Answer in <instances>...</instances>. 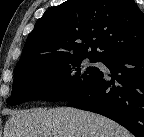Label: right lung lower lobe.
Listing matches in <instances>:
<instances>
[{
    "mask_svg": "<svg viewBox=\"0 0 144 137\" xmlns=\"http://www.w3.org/2000/svg\"><path fill=\"white\" fill-rule=\"evenodd\" d=\"M110 71L99 77L67 106L104 115L136 137H144V45L103 62Z\"/></svg>",
    "mask_w": 144,
    "mask_h": 137,
    "instance_id": "obj_1",
    "label": "right lung lower lobe"
}]
</instances>
